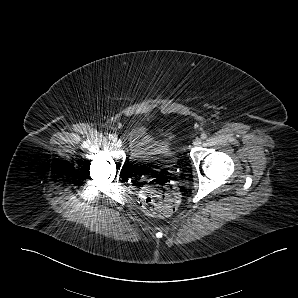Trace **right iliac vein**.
Segmentation results:
<instances>
[{
  "instance_id": "1",
  "label": "right iliac vein",
  "mask_w": 298,
  "mask_h": 298,
  "mask_svg": "<svg viewBox=\"0 0 298 298\" xmlns=\"http://www.w3.org/2000/svg\"><path fill=\"white\" fill-rule=\"evenodd\" d=\"M114 144L117 146V147H121L122 146V141L118 138H115L113 140Z\"/></svg>"
}]
</instances>
